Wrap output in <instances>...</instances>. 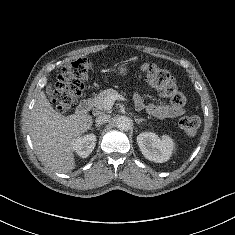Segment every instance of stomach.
Returning a JSON list of instances; mask_svg holds the SVG:
<instances>
[{"label":"stomach","mask_w":235,"mask_h":235,"mask_svg":"<svg viewBox=\"0 0 235 235\" xmlns=\"http://www.w3.org/2000/svg\"><path fill=\"white\" fill-rule=\"evenodd\" d=\"M127 66L125 64H122L118 67V73L120 75H125L127 73Z\"/></svg>","instance_id":"1"}]
</instances>
